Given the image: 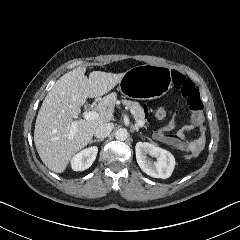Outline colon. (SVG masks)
<instances>
[{
  "label": "colon",
  "instance_id": "5ec220e1",
  "mask_svg": "<svg viewBox=\"0 0 240 240\" xmlns=\"http://www.w3.org/2000/svg\"><path fill=\"white\" fill-rule=\"evenodd\" d=\"M176 87L182 89L183 96L188 100V112L191 115V119L195 126L198 127L203 121V102L200 99L199 92L194 85L189 83L187 76L177 75L175 77ZM156 117L159 119L166 118L167 114L163 111V107H158L156 111ZM198 153H202V142L198 141L193 147H190V152L186 153L187 157L197 156Z\"/></svg>",
  "mask_w": 240,
  "mask_h": 240
}]
</instances>
